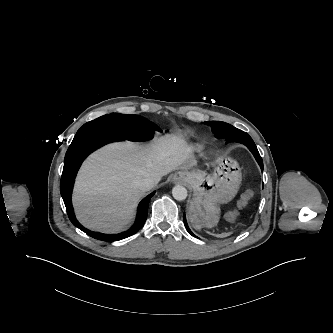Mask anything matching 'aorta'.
I'll return each mask as SVG.
<instances>
[{
    "mask_svg": "<svg viewBox=\"0 0 333 333\" xmlns=\"http://www.w3.org/2000/svg\"><path fill=\"white\" fill-rule=\"evenodd\" d=\"M172 195L178 201L185 200L187 198V189L181 185H176L172 189Z\"/></svg>",
    "mask_w": 333,
    "mask_h": 333,
    "instance_id": "1",
    "label": "aorta"
}]
</instances>
